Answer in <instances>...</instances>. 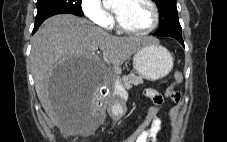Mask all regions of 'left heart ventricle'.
I'll use <instances>...</instances> for the list:
<instances>
[{
  "mask_svg": "<svg viewBox=\"0 0 227 142\" xmlns=\"http://www.w3.org/2000/svg\"><path fill=\"white\" fill-rule=\"evenodd\" d=\"M112 11L130 29H144L152 21L151 8L145 0H115Z\"/></svg>",
  "mask_w": 227,
  "mask_h": 142,
  "instance_id": "left-heart-ventricle-1",
  "label": "left heart ventricle"
}]
</instances>
